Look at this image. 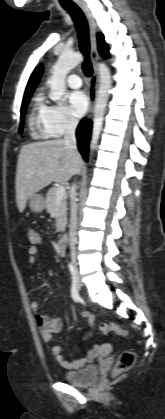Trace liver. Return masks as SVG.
<instances>
[{
    "instance_id": "1",
    "label": "liver",
    "mask_w": 165,
    "mask_h": 419,
    "mask_svg": "<svg viewBox=\"0 0 165 419\" xmlns=\"http://www.w3.org/2000/svg\"><path fill=\"white\" fill-rule=\"evenodd\" d=\"M83 166L81 155L68 148L63 139L22 146L16 172V201L20 212L27 200L52 182H67Z\"/></svg>"
}]
</instances>
